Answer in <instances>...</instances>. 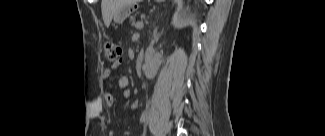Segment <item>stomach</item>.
<instances>
[{"instance_id":"stomach-1","label":"stomach","mask_w":325,"mask_h":136,"mask_svg":"<svg viewBox=\"0 0 325 136\" xmlns=\"http://www.w3.org/2000/svg\"><path fill=\"white\" fill-rule=\"evenodd\" d=\"M137 2L131 1L130 5L124 6L122 9L117 11L113 19L116 23H122L129 15H132L133 12H136Z\"/></svg>"}]
</instances>
